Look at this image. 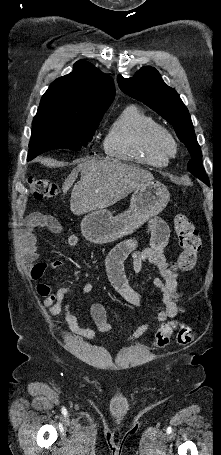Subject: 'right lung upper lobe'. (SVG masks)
I'll return each mask as SVG.
<instances>
[{"mask_svg":"<svg viewBox=\"0 0 221 455\" xmlns=\"http://www.w3.org/2000/svg\"><path fill=\"white\" fill-rule=\"evenodd\" d=\"M115 97L113 79L79 60L73 72L56 79L42 96L38 110L86 116L107 110Z\"/></svg>","mask_w":221,"mask_h":455,"instance_id":"1","label":"right lung upper lobe"}]
</instances>
